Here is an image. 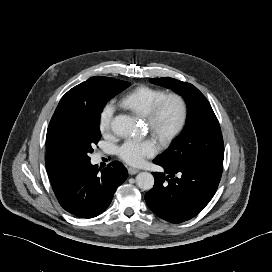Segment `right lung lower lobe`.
<instances>
[{
    "label": "right lung lower lobe",
    "instance_id": "right-lung-lower-lobe-1",
    "mask_svg": "<svg viewBox=\"0 0 272 272\" xmlns=\"http://www.w3.org/2000/svg\"><path fill=\"white\" fill-rule=\"evenodd\" d=\"M127 176L128 172L120 162L113 161L99 172L96 165L84 161L49 177L55 195L66 211L80 218H92L106 210Z\"/></svg>",
    "mask_w": 272,
    "mask_h": 272
}]
</instances>
